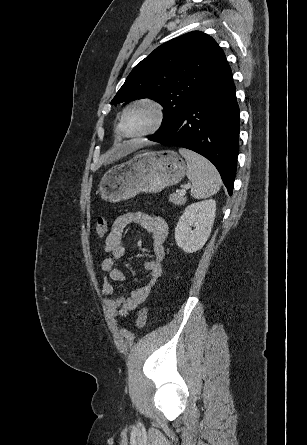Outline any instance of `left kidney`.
Here are the masks:
<instances>
[{
    "mask_svg": "<svg viewBox=\"0 0 307 445\" xmlns=\"http://www.w3.org/2000/svg\"><path fill=\"white\" fill-rule=\"evenodd\" d=\"M216 212V200H201L186 206L175 229V241L184 253H196L210 237ZM191 227H195L192 231Z\"/></svg>",
    "mask_w": 307,
    "mask_h": 445,
    "instance_id": "left-kidney-1",
    "label": "left kidney"
}]
</instances>
